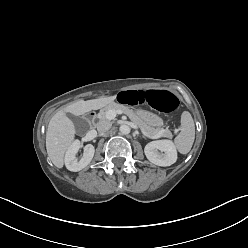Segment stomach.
I'll list each match as a JSON object with an SVG mask.
<instances>
[{
    "label": "stomach",
    "mask_w": 248,
    "mask_h": 248,
    "mask_svg": "<svg viewBox=\"0 0 248 248\" xmlns=\"http://www.w3.org/2000/svg\"><path fill=\"white\" fill-rule=\"evenodd\" d=\"M137 116L143 120L146 124L152 127H160L162 125V119L154 113L145 111V110H137Z\"/></svg>",
    "instance_id": "obj_1"
}]
</instances>
